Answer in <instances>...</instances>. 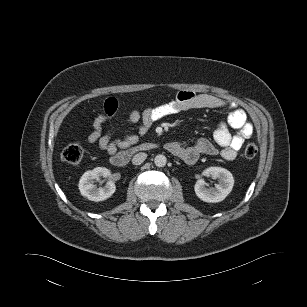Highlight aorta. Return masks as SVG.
Returning a JSON list of instances; mask_svg holds the SVG:
<instances>
[{"label":"aorta","mask_w":307,"mask_h":307,"mask_svg":"<svg viewBox=\"0 0 307 307\" xmlns=\"http://www.w3.org/2000/svg\"><path fill=\"white\" fill-rule=\"evenodd\" d=\"M154 163L157 167H164L167 163V158L163 154L155 156Z\"/></svg>","instance_id":"1"}]
</instances>
